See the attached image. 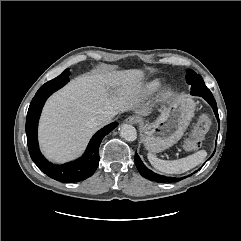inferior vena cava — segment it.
<instances>
[{
	"instance_id": "602c4592",
	"label": "inferior vena cava",
	"mask_w": 241,
	"mask_h": 241,
	"mask_svg": "<svg viewBox=\"0 0 241 241\" xmlns=\"http://www.w3.org/2000/svg\"><path fill=\"white\" fill-rule=\"evenodd\" d=\"M117 112L104 113L93 120L94 126L101 128L112 122V119L116 116Z\"/></svg>"
}]
</instances>
